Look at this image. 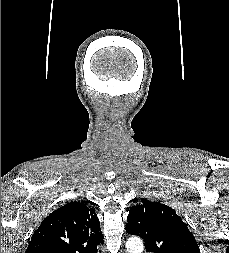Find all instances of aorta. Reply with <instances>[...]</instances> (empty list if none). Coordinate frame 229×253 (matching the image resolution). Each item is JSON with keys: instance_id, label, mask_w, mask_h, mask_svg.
<instances>
[{"instance_id": "aorta-1", "label": "aorta", "mask_w": 229, "mask_h": 253, "mask_svg": "<svg viewBox=\"0 0 229 253\" xmlns=\"http://www.w3.org/2000/svg\"><path fill=\"white\" fill-rule=\"evenodd\" d=\"M126 248L128 253H142L143 242L138 237H131L126 243Z\"/></svg>"}]
</instances>
